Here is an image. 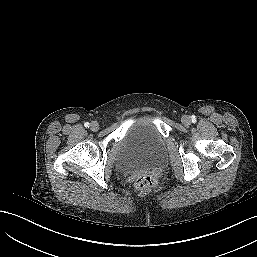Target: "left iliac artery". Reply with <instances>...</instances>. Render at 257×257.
Returning <instances> with one entry per match:
<instances>
[{
  "mask_svg": "<svg viewBox=\"0 0 257 257\" xmlns=\"http://www.w3.org/2000/svg\"><path fill=\"white\" fill-rule=\"evenodd\" d=\"M192 121H193V122L195 121V117H193Z\"/></svg>",
  "mask_w": 257,
  "mask_h": 257,
  "instance_id": "1",
  "label": "left iliac artery"
}]
</instances>
